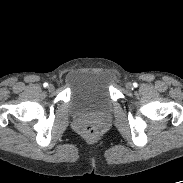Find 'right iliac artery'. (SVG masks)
Here are the masks:
<instances>
[{
	"instance_id": "right-iliac-artery-1",
	"label": "right iliac artery",
	"mask_w": 183,
	"mask_h": 183,
	"mask_svg": "<svg viewBox=\"0 0 183 183\" xmlns=\"http://www.w3.org/2000/svg\"><path fill=\"white\" fill-rule=\"evenodd\" d=\"M43 86H44V87H47V86H48V83H44Z\"/></svg>"
}]
</instances>
